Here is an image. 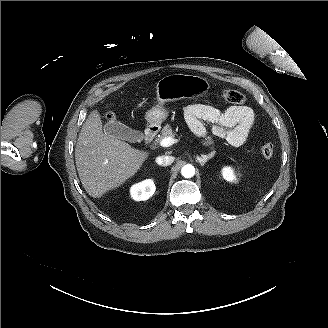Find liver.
Masks as SVG:
<instances>
[{
	"label": "liver",
	"mask_w": 328,
	"mask_h": 328,
	"mask_svg": "<svg viewBox=\"0 0 328 328\" xmlns=\"http://www.w3.org/2000/svg\"><path fill=\"white\" fill-rule=\"evenodd\" d=\"M102 127L103 117L94 109L82 126L75 148L79 178L94 199L103 198L133 178L151 155L106 135Z\"/></svg>",
	"instance_id": "liver-1"
}]
</instances>
